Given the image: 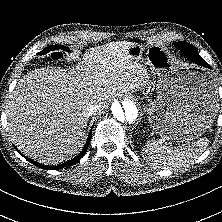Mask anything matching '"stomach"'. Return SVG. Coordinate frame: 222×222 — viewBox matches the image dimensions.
Wrapping results in <instances>:
<instances>
[{"label":"stomach","instance_id":"1","mask_svg":"<svg viewBox=\"0 0 222 222\" xmlns=\"http://www.w3.org/2000/svg\"><path fill=\"white\" fill-rule=\"evenodd\" d=\"M144 46L132 43L125 55L141 60ZM146 64L157 75V98L148 104L149 123L163 141L189 142L202 136L218 111L217 88L209 72L177 66L159 44L146 49Z\"/></svg>","mask_w":222,"mask_h":222}]
</instances>
